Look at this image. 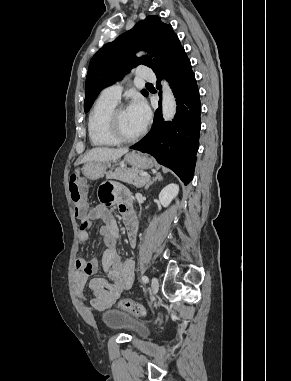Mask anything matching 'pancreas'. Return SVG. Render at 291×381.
Wrapping results in <instances>:
<instances>
[{
  "label": "pancreas",
  "mask_w": 291,
  "mask_h": 381,
  "mask_svg": "<svg viewBox=\"0 0 291 381\" xmlns=\"http://www.w3.org/2000/svg\"><path fill=\"white\" fill-rule=\"evenodd\" d=\"M140 170L137 169H124L116 168L114 171H109L106 173V179L120 180L129 184H133L136 187H141L147 182L148 178L142 177Z\"/></svg>",
  "instance_id": "1"
}]
</instances>
